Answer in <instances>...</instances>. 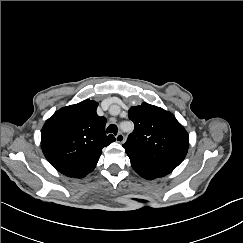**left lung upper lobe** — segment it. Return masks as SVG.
I'll return each instance as SVG.
<instances>
[{"label": "left lung upper lobe", "mask_w": 243, "mask_h": 243, "mask_svg": "<svg viewBox=\"0 0 243 243\" xmlns=\"http://www.w3.org/2000/svg\"><path fill=\"white\" fill-rule=\"evenodd\" d=\"M134 130L123 144L128 156L177 167L189 148V137L175 116L148 103L131 107Z\"/></svg>", "instance_id": "5c2ea615"}]
</instances>
